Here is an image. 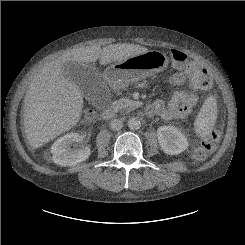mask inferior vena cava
<instances>
[{"instance_id": "inferior-vena-cava-1", "label": "inferior vena cava", "mask_w": 245, "mask_h": 245, "mask_svg": "<svg viewBox=\"0 0 245 245\" xmlns=\"http://www.w3.org/2000/svg\"><path fill=\"white\" fill-rule=\"evenodd\" d=\"M110 125L112 130L118 131L123 127V122L120 119H114Z\"/></svg>"}]
</instances>
